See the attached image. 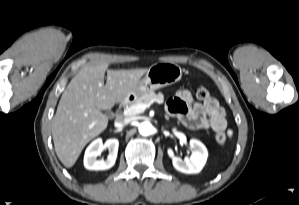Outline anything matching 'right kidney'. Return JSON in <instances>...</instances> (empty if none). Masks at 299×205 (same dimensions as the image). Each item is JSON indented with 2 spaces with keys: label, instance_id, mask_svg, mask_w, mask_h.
Wrapping results in <instances>:
<instances>
[{
  "label": "right kidney",
  "instance_id": "right-kidney-1",
  "mask_svg": "<svg viewBox=\"0 0 299 205\" xmlns=\"http://www.w3.org/2000/svg\"><path fill=\"white\" fill-rule=\"evenodd\" d=\"M119 141L115 138L108 139L103 144L102 139L94 140L86 149L84 155V167L88 170H106L111 168L116 161ZM108 149L109 155L106 159L97 160L102 151Z\"/></svg>",
  "mask_w": 299,
  "mask_h": 205
}]
</instances>
